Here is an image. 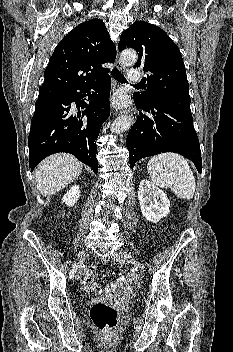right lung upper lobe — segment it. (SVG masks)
Wrapping results in <instances>:
<instances>
[{
	"mask_svg": "<svg viewBox=\"0 0 233 352\" xmlns=\"http://www.w3.org/2000/svg\"><path fill=\"white\" fill-rule=\"evenodd\" d=\"M116 48L103 21L92 19L70 31L55 48L40 88H61L94 80L107 72L101 65L114 62Z\"/></svg>",
	"mask_w": 233,
	"mask_h": 352,
	"instance_id": "right-lung-upper-lobe-1",
	"label": "right lung upper lobe"
}]
</instances>
